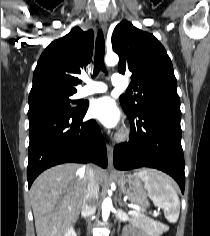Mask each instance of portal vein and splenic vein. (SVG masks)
<instances>
[{"label":"portal vein and splenic vein","instance_id":"1","mask_svg":"<svg viewBox=\"0 0 210 236\" xmlns=\"http://www.w3.org/2000/svg\"><path fill=\"white\" fill-rule=\"evenodd\" d=\"M128 214L129 215H136V214H138V211H136V210H129Z\"/></svg>","mask_w":210,"mask_h":236}]
</instances>
